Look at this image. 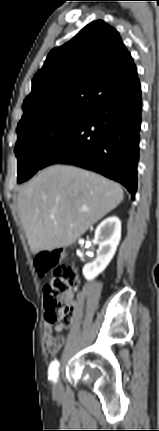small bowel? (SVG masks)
Instances as JSON below:
<instances>
[{"mask_svg":"<svg viewBox=\"0 0 159 431\" xmlns=\"http://www.w3.org/2000/svg\"><path fill=\"white\" fill-rule=\"evenodd\" d=\"M72 294H69V300L72 301ZM65 326L62 324L53 325L51 322L44 324L43 337L46 348L50 354H56L65 344L66 337L64 334Z\"/></svg>","mask_w":159,"mask_h":431,"instance_id":"c3829d8e","label":"small bowel"}]
</instances>
